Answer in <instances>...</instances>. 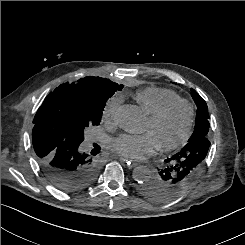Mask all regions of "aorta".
<instances>
[{
  "instance_id": "762f6f07",
  "label": "aorta",
  "mask_w": 245,
  "mask_h": 245,
  "mask_svg": "<svg viewBox=\"0 0 245 245\" xmlns=\"http://www.w3.org/2000/svg\"><path fill=\"white\" fill-rule=\"evenodd\" d=\"M117 121L119 127L129 133L141 132L145 124L141 111L136 106L129 104L120 107ZM154 176V172L146 166L136 167L133 171V178L139 183H144Z\"/></svg>"
}]
</instances>
